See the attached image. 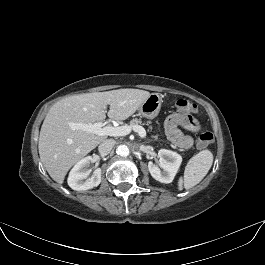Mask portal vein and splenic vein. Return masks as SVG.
Returning a JSON list of instances; mask_svg holds the SVG:
<instances>
[{
  "label": "portal vein and splenic vein",
  "mask_w": 265,
  "mask_h": 265,
  "mask_svg": "<svg viewBox=\"0 0 265 265\" xmlns=\"http://www.w3.org/2000/svg\"><path fill=\"white\" fill-rule=\"evenodd\" d=\"M69 126L72 129H80L89 133L96 134L98 136H125L128 135L132 130L134 132H137L141 138L146 137V131L145 129L140 125H134V126H119V127H113V126H104V123L102 122H96L93 124H86V123H73L70 122Z\"/></svg>",
  "instance_id": "18ae733b"
}]
</instances>
